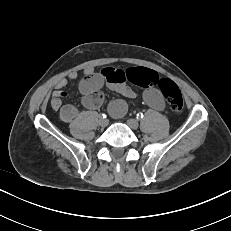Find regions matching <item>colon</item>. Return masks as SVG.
<instances>
[{"label": "colon", "mask_w": 231, "mask_h": 231, "mask_svg": "<svg viewBox=\"0 0 231 231\" xmlns=\"http://www.w3.org/2000/svg\"><path fill=\"white\" fill-rule=\"evenodd\" d=\"M127 81L132 84L150 88L158 86L163 93L169 108L173 112H180L183 109V97L177 85L169 79L160 78L158 74L146 68H132L125 72Z\"/></svg>", "instance_id": "colon-1"}]
</instances>
